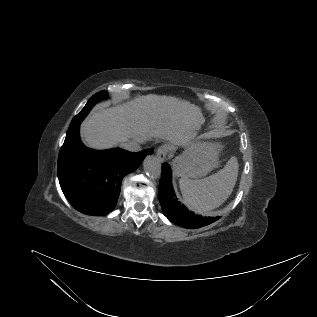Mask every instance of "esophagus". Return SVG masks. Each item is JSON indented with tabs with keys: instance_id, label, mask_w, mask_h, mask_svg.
<instances>
[{
	"instance_id": "1",
	"label": "esophagus",
	"mask_w": 317,
	"mask_h": 317,
	"mask_svg": "<svg viewBox=\"0 0 317 317\" xmlns=\"http://www.w3.org/2000/svg\"><path fill=\"white\" fill-rule=\"evenodd\" d=\"M171 151V146L169 144H163L157 149V157L160 161H164Z\"/></svg>"
}]
</instances>
